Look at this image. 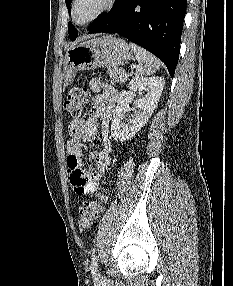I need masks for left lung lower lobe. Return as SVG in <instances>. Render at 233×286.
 Wrapping results in <instances>:
<instances>
[{"label":"left lung lower lobe","mask_w":233,"mask_h":286,"mask_svg":"<svg viewBox=\"0 0 233 286\" xmlns=\"http://www.w3.org/2000/svg\"><path fill=\"white\" fill-rule=\"evenodd\" d=\"M187 0H115L88 33H118L162 60L171 77L179 58Z\"/></svg>","instance_id":"left-lung-lower-lobe-1"}]
</instances>
